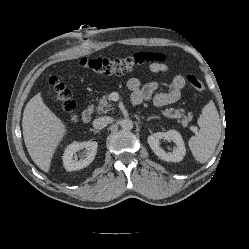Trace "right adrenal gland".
I'll list each match as a JSON object with an SVG mask.
<instances>
[{
  "label": "right adrenal gland",
  "instance_id": "right-adrenal-gland-1",
  "mask_svg": "<svg viewBox=\"0 0 249 249\" xmlns=\"http://www.w3.org/2000/svg\"><path fill=\"white\" fill-rule=\"evenodd\" d=\"M91 131H93L94 133H98L99 131H97V130H94V129H92Z\"/></svg>",
  "mask_w": 249,
  "mask_h": 249
}]
</instances>
